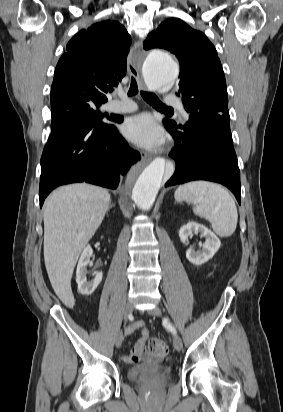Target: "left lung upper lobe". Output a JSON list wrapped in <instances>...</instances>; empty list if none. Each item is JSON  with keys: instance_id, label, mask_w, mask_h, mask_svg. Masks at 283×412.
<instances>
[{"instance_id": "5c2ea615", "label": "left lung upper lobe", "mask_w": 283, "mask_h": 412, "mask_svg": "<svg viewBox=\"0 0 283 412\" xmlns=\"http://www.w3.org/2000/svg\"><path fill=\"white\" fill-rule=\"evenodd\" d=\"M143 47L169 50L180 61L177 95L183 100L189 121L185 125L165 121L199 130L212 144L234 151L225 76L216 49L206 36L171 18L148 35Z\"/></svg>"}]
</instances>
